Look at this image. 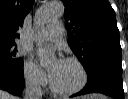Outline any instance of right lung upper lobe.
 <instances>
[{"instance_id": "right-lung-upper-lobe-1", "label": "right lung upper lobe", "mask_w": 128, "mask_h": 99, "mask_svg": "<svg viewBox=\"0 0 128 99\" xmlns=\"http://www.w3.org/2000/svg\"><path fill=\"white\" fill-rule=\"evenodd\" d=\"M34 0H0V44H15L16 33Z\"/></svg>"}]
</instances>
